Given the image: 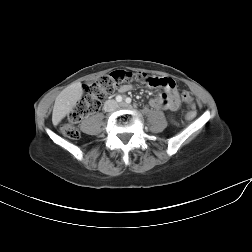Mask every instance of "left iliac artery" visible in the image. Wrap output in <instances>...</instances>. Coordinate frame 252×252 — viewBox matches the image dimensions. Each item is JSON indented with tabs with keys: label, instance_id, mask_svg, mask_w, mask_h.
Listing matches in <instances>:
<instances>
[{
	"label": "left iliac artery",
	"instance_id": "1",
	"mask_svg": "<svg viewBox=\"0 0 252 252\" xmlns=\"http://www.w3.org/2000/svg\"><path fill=\"white\" fill-rule=\"evenodd\" d=\"M125 102H126L127 104H130V103H131V98L127 97V98L125 99Z\"/></svg>",
	"mask_w": 252,
	"mask_h": 252
}]
</instances>
